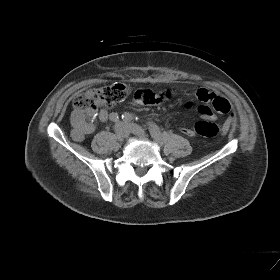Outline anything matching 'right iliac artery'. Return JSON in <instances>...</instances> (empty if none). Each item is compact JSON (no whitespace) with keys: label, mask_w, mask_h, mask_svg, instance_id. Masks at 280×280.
<instances>
[{"label":"right iliac artery","mask_w":280,"mask_h":280,"mask_svg":"<svg viewBox=\"0 0 280 280\" xmlns=\"http://www.w3.org/2000/svg\"><path fill=\"white\" fill-rule=\"evenodd\" d=\"M109 118H110L111 121H114V122L118 121V119H119L117 113H111Z\"/></svg>","instance_id":"right-iliac-artery-1"}]
</instances>
